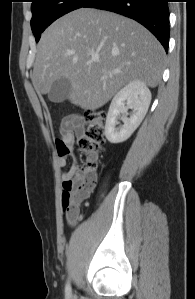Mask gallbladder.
I'll use <instances>...</instances> for the list:
<instances>
[{
	"instance_id": "bac80fb5",
	"label": "gallbladder",
	"mask_w": 195,
	"mask_h": 299,
	"mask_svg": "<svg viewBox=\"0 0 195 299\" xmlns=\"http://www.w3.org/2000/svg\"><path fill=\"white\" fill-rule=\"evenodd\" d=\"M72 90V84L67 78H60L53 82L48 93V98L53 103H61L65 101Z\"/></svg>"
}]
</instances>
